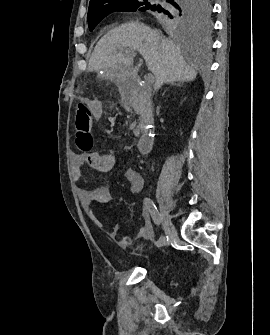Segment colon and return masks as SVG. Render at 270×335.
<instances>
[{
    "label": "colon",
    "mask_w": 270,
    "mask_h": 335,
    "mask_svg": "<svg viewBox=\"0 0 270 335\" xmlns=\"http://www.w3.org/2000/svg\"><path fill=\"white\" fill-rule=\"evenodd\" d=\"M81 107H86V102H81ZM75 123H77L76 134H85L87 141H77V148H86L90 151L94 144V139L90 135V123H93V116L90 109H80L78 111V116H75ZM135 244L126 240V246L132 247Z\"/></svg>",
    "instance_id": "1"
}]
</instances>
